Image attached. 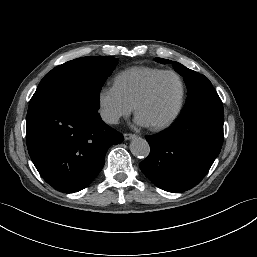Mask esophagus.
I'll use <instances>...</instances> for the list:
<instances>
[{
    "instance_id": "esophagus-1",
    "label": "esophagus",
    "mask_w": 257,
    "mask_h": 257,
    "mask_svg": "<svg viewBox=\"0 0 257 257\" xmlns=\"http://www.w3.org/2000/svg\"><path fill=\"white\" fill-rule=\"evenodd\" d=\"M134 138H136L135 134H132V133H125L124 134V139L125 140H130V139H134Z\"/></svg>"
}]
</instances>
